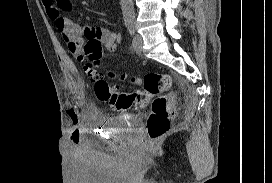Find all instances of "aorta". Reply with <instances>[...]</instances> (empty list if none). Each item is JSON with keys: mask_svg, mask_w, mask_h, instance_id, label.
<instances>
[{"mask_svg": "<svg viewBox=\"0 0 272 183\" xmlns=\"http://www.w3.org/2000/svg\"><path fill=\"white\" fill-rule=\"evenodd\" d=\"M124 23L133 24L135 22V11L133 0H120Z\"/></svg>", "mask_w": 272, "mask_h": 183, "instance_id": "1", "label": "aorta"}]
</instances>
